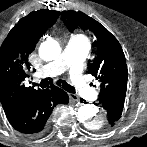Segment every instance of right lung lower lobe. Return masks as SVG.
Masks as SVG:
<instances>
[{"label":"right lung lower lobe","instance_id":"1","mask_svg":"<svg viewBox=\"0 0 147 147\" xmlns=\"http://www.w3.org/2000/svg\"><path fill=\"white\" fill-rule=\"evenodd\" d=\"M68 102L67 93L56 86H52L51 89L43 90L23 110L8 117V121L15 130L21 133L38 135L44 131L54 106Z\"/></svg>","mask_w":147,"mask_h":147}]
</instances>
